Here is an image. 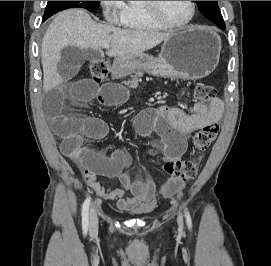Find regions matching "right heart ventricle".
Listing matches in <instances>:
<instances>
[{
  "label": "right heart ventricle",
  "instance_id": "right-heart-ventricle-1",
  "mask_svg": "<svg viewBox=\"0 0 271 266\" xmlns=\"http://www.w3.org/2000/svg\"><path fill=\"white\" fill-rule=\"evenodd\" d=\"M122 24L133 30H162L165 27L159 25L145 12L142 4L128 3L122 15Z\"/></svg>",
  "mask_w": 271,
  "mask_h": 266
}]
</instances>
